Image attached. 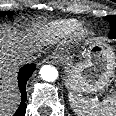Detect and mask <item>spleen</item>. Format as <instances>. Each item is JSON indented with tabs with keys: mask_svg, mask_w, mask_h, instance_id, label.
<instances>
[{
	"mask_svg": "<svg viewBox=\"0 0 116 116\" xmlns=\"http://www.w3.org/2000/svg\"><path fill=\"white\" fill-rule=\"evenodd\" d=\"M71 108L78 116H116V95L107 96L102 102L69 93Z\"/></svg>",
	"mask_w": 116,
	"mask_h": 116,
	"instance_id": "spleen-1",
	"label": "spleen"
}]
</instances>
